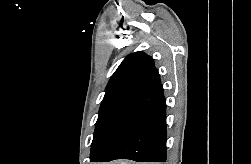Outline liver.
Masks as SVG:
<instances>
[{
	"label": "liver",
	"mask_w": 251,
	"mask_h": 164,
	"mask_svg": "<svg viewBox=\"0 0 251 164\" xmlns=\"http://www.w3.org/2000/svg\"><path fill=\"white\" fill-rule=\"evenodd\" d=\"M108 164H136V163H132V162H128V161H115V162L108 163Z\"/></svg>",
	"instance_id": "6515ba94"
}]
</instances>
